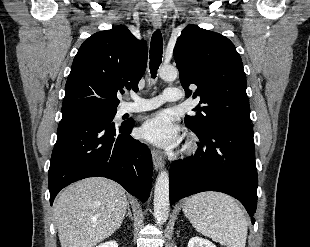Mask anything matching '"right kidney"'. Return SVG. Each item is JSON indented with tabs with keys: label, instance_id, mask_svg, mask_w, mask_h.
<instances>
[{
	"label": "right kidney",
	"instance_id": "right-kidney-1",
	"mask_svg": "<svg viewBox=\"0 0 310 247\" xmlns=\"http://www.w3.org/2000/svg\"><path fill=\"white\" fill-rule=\"evenodd\" d=\"M96 247H118V244L116 241H109V242L102 243Z\"/></svg>",
	"mask_w": 310,
	"mask_h": 247
}]
</instances>
